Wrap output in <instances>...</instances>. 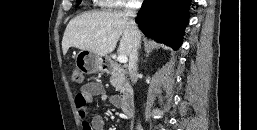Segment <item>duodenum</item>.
<instances>
[{"label": "duodenum", "mask_w": 257, "mask_h": 130, "mask_svg": "<svg viewBox=\"0 0 257 130\" xmlns=\"http://www.w3.org/2000/svg\"><path fill=\"white\" fill-rule=\"evenodd\" d=\"M102 68L109 73H121V70L109 59L102 62ZM134 107L133 90L129 85H125L120 102V108L125 117L131 116Z\"/></svg>", "instance_id": "obj_1"}]
</instances>
